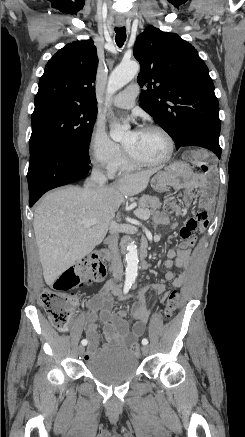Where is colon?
<instances>
[{"label":"colon","instance_id":"5ec220e1","mask_svg":"<svg viewBox=\"0 0 245 437\" xmlns=\"http://www.w3.org/2000/svg\"><path fill=\"white\" fill-rule=\"evenodd\" d=\"M207 172L209 169L201 168ZM176 205L174 198H168L165 204L166 210L170 211ZM106 277V268L99 257L92 255L78 262L74 267L64 271L53 283L52 288L41 294L42 306L47 313L53 326L59 331L68 329L71 323L73 306L75 302L74 290L83 284L101 282ZM179 293L171 291L168 294L164 315L171 318L179 305ZM131 352L140 355L141 347L133 343Z\"/></svg>","mask_w":245,"mask_h":437}]
</instances>
